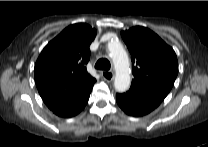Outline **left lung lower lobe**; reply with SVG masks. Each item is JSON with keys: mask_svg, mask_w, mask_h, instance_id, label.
<instances>
[{"mask_svg": "<svg viewBox=\"0 0 208 147\" xmlns=\"http://www.w3.org/2000/svg\"><path fill=\"white\" fill-rule=\"evenodd\" d=\"M163 98L151 92L130 87L123 94H116L119 107L128 115L139 117L150 113L161 102Z\"/></svg>", "mask_w": 208, "mask_h": 147, "instance_id": "0a47b994", "label": "left lung lower lobe"}]
</instances>
